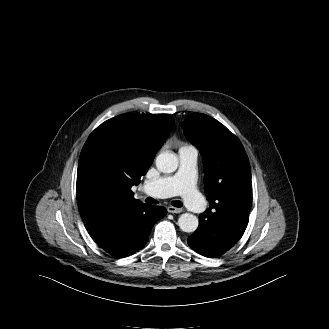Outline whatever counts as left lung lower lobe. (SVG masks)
<instances>
[{"label": "left lung lower lobe", "mask_w": 329, "mask_h": 329, "mask_svg": "<svg viewBox=\"0 0 329 329\" xmlns=\"http://www.w3.org/2000/svg\"><path fill=\"white\" fill-rule=\"evenodd\" d=\"M249 208H239L237 217L210 223L199 216L198 229L187 239L189 246L205 257L224 254L242 237L248 223Z\"/></svg>", "instance_id": "1"}]
</instances>
